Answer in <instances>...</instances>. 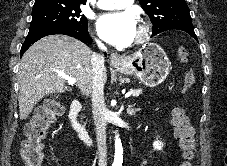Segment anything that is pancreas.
Listing matches in <instances>:
<instances>
[{"label": "pancreas", "mask_w": 227, "mask_h": 166, "mask_svg": "<svg viewBox=\"0 0 227 166\" xmlns=\"http://www.w3.org/2000/svg\"><path fill=\"white\" fill-rule=\"evenodd\" d=\"M130 92L132 97H137L142 93V89H131Z\"/></svg>", "instance_id": "cf45deb5"}]
</instances>
